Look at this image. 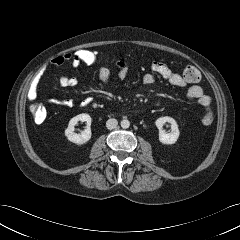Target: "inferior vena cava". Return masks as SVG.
<instances>
[{"mask_svg": "<svg viewBox=\"0 0 240 240\" xmlns=\"http://www.w3.org/2000/svg\"><path fill=\"white\" fill-rule=\"evenodd\" d=\"M117 125H118V121L114 118L108 119L107 122H106V127L109 130H112V129L116 128Z\"/></svg>", "mask_w": 240, "mask_h": 240, "instance_id": "inferior-vena-cava-1", "label": "inferior vena cava"}]
</instances>
